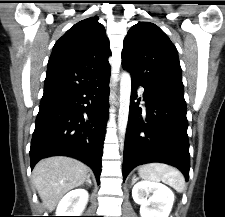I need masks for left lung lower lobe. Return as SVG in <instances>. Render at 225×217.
Instances as JSON below:
<instances>
[{
    "mask_svg": "<svg viewBox=\"0 0 225 217\" xmlns=\"http://www.w3.org/2000/svg\"><path fill=\"white\" fill-rule=\"evenodd\" d=\"M138 85L132 81L124 146V180L134 167L150 162L175 166L188 180L190 155L184 94L144 87L146 109H142L139 102H135Z\"/></svg>",
    "mask_w": 225,
    "mask_h": 217,
    "instance_id": "left-lung-lower-lobe-1",
    "label": "left lung lower lobe"
}]
</instances>
